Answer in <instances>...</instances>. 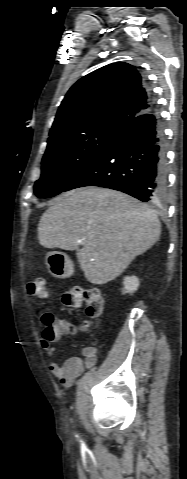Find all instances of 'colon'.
Here are the masks:
<instances>
[{"instance_id": "colon-1", "label": "colon", "mask_w": 187, "mask_h": 479, "mask_svg": "<svg viewBox=\"0 0 187 479\" xmlns=\"http://www.w3.org/2000/svg\"><path fill=\"white\" fill-rule=\"evenodd\" d=\"M28 293L38 299H47L49 297L47 279L38 277L29 282ZM62 302L67 308H83L85 310L88 320L80 326L82 330L88 329L93 321L101 316L104 310L103 296L99 289L95 287L83 288L80 286H71L64 291ZM41 321L44 325L42 335L48 340L60 339L62 336L77 330V328L72 325L66 327L49 312L41 314Z\"/></svg>"}]
</instances>
